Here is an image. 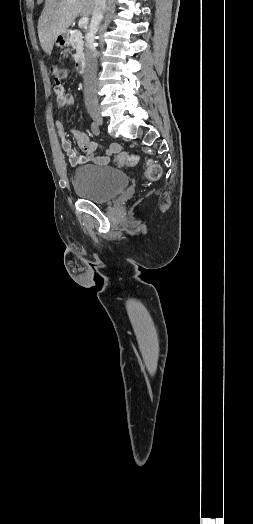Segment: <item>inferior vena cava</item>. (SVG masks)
<instances>
[{"label":"inferior vena cava","instance_id":"602c4592","mask_svg":"<svg viewBox=\"0 0 253 524\" xmlns=\"http://www.w3.org/2000/svg\"><path fill=\"white\" fill-rule=\"evenodd\" d=\"M106 0H95L89 32L86 38V69L84 73V98L87 107L97 106L96 74H97V50L94 46V38L98 26L103 18Z\"/></svg>","mask_w":253,"mask_h":524}]
</instances>
